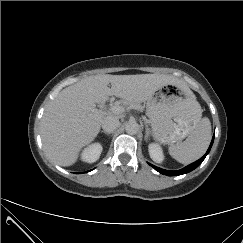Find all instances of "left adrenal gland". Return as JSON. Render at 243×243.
<instances>
[{"label": "left adrenal gland", "instance_id": "a2214340", "mask_svg": "<svg viewBox=\"0 0 243 243\" xmlns=\"http://www.w3.org/2000/svg\"><path fill=\"white\" fill-rule=\"evenodd\" d=\"M145 129H146V131H145V140L147 141L148 138L150 137V129H149L148 125H145Z\"/></svg>", "mask_w": 243, "mask_h": 243}]
</instances>
